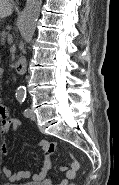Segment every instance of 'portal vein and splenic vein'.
I'll return each mask as SVG.
<instances>
[{"instance_id": "18ae733b", "label": "portal vein and splenic vein", "mask_w": 119, "mask_h": 185, "mask_svg": "<svg viewBox=\"0 0 119 185\" xmlns=\"http://www.w3.org/2000/svg\"><path fill=\"white\" fill-rule=\"evenodd\" d=\"M13 41H12V36L11 35H8V43L11 44Z\"/></svg>"}]
</instances>
